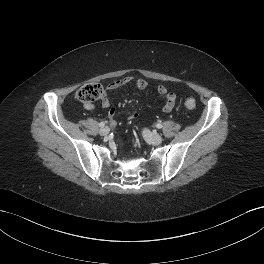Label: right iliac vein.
<instances>
[{"mask_svg": "<svg viewBox=\"0 0 264 264\" xmlns=\"http://www.w3.org/2000/svg\"><path fill=\"white\" fill-rule=\"evenodd\" d=\"M109 131H110V129H109L108 127H102V128L99 130V133H100V135H102V136H106V135H108Z\"/></svg>", "mask_w": 264, "mask_h": 264, "instance_id": "1", "label": "right iliac vein"}]
</instances>
